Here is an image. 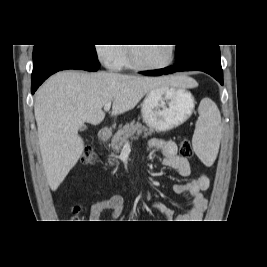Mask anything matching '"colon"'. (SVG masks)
Masks as SVG:
<instances>
[{"label":"colon","instance_id":"5ec220e1","mask_svg":"<svg viewBox=\"0 0 267 267\" xmlns=\"http://www.w3.org/2000/svg\"><path fill=\"white\" fill-rule=\"evenodd\" d=\"M193 154L190 141L188 139H183L180 143V155L184 158L191 157ZM96 161V154L91 148H86L82 154V162L84 164H94ZM80 210V208H76ZM80 222V221H74Z\"/></svg>","mask_w":267,"mask_h":267}]
</instances>
